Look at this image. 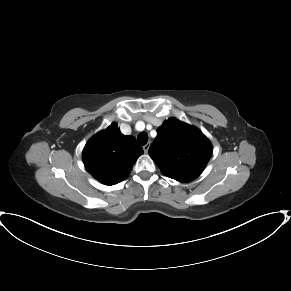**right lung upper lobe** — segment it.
<instances>
[{
  "instance_id": "1",
  "label": "right lung upper lobe",
  "mask_w": 291,
  "mask_h": 291,
  "mask_svg": "<svg viewBox=\"0 0 291 291\" xmlns=\"http://www.w3.org/2000/svg\"><path fill=\"white\" fill-rule=\"evenodd\" d=\"M143 154L135 137L123 135L117 124L98 132L85 145L82 156L86 170L99 182L114 185L126 179Z\"/></svg>"
}]
</instances>
